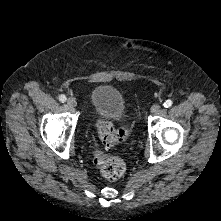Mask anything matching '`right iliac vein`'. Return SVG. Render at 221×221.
I'll return each instance as SVG.
<instances>
[{"label":"right iliac vein","instance_id":"63e3f726","mask_svg":"<svg viewBox=\"0 0 221 221\" xmlns=\"http://www.w3.org/2000/svg\"><path fill=\"white\" fill-rule=\"evenodd\" d=\"M67 104L70 108H74L77 105V101L74 98H68Z\"/></svg>","mask_w":221,"mask_h":221}]
</instances>
